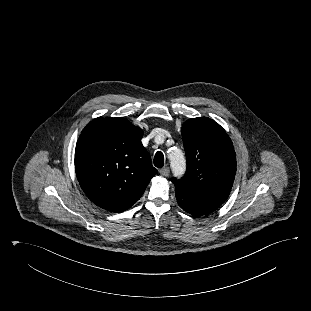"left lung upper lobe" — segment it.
Instances as JSON below:
<instances>
[{
  "label": "left lung upper lobe",
  "instance_id": "1",
  "mask_svg": "<svg viewBox=\"0 0 311 311\" xmlns=\"http://www.w3.org/2000/svg\"><path fill=\"white\" fill-rule=\"evenodd\" d=\"M182 139L187 170L182 179L172 178L175 189L222 205L236 173V155L229 136L214 120L198 117L183 124Z\"/></svg>",
  "mask_w": 311,
  "mask_h": 311
}]
</instances>
